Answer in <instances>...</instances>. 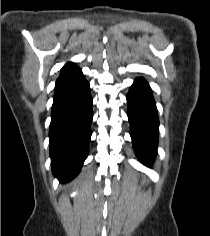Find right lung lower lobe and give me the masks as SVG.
I'll return each mask as SVG.
<instances>
[{
  "label": "right lung lower lobe",
  "instance_id": "98d812e1",
  "mask_svg": "<svg viewBox=\"0 0 210 236\" xmlns=\"http://www.w3.org/2000/svg\"><path fill=\"white\" fill-rule=\"evenodd\" d=\"M93 118L89 83L76 65L62 69L56 81L49 130L52 171L67 182L88 155Z\"/></svg>",
  "mask_w": 210,
  "mask_h": 236
}]
</instances>
